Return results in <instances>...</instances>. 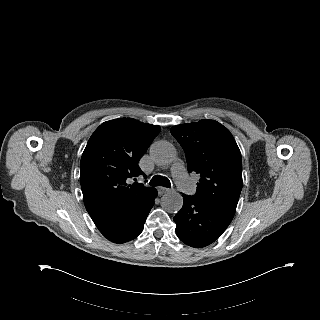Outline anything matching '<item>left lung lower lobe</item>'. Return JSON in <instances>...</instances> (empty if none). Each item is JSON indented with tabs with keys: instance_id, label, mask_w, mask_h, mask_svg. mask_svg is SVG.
Segmentation results:
<instances>
[{
	"instance_id": "left-lung-lower-lobe-1",
	"label": "left lung lower lobe",
	"mask_w": 320,
	"mask_h": 320,
	"mask_svg": "<svg viewBox=\"0 0 320 320\" xmlns=\"http://www.w3.org/2000/svg\"><path fill=\"white\" fill-rule=\"evenodd\" d=\"M182 196L183 206L173 218L178 238L195 248H202L216 241L229 226L233 215L195 196Z\"/></svg>"
}]
</instances>
